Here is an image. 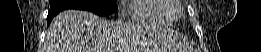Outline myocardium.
Wrapping results in <instances>:
<instances>
[{
    "mask_svg": "<svg viewBox=\"0 0 261 52\" xmlns=\"http://www.w3.org/2000/svg\"><path fill=\"white\" fill-rule=\"evenodd\" d=\"M182 15V11L177 9V10H172V17L173 19H178L179 17H181Z\"/></svg>",
    "mask_w": 261,
    "mask_h": 52,
    "instance_id": "f54148a6",
    "label": "myocardium"
}]
</instances>
